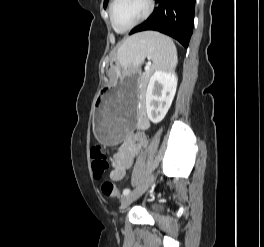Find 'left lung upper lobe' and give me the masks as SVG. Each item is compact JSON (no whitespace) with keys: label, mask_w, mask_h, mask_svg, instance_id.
<instances>
[{"label":"left lung upper lobe","mask_w":264,"mask_h":247,"mask_svg":"<svg viewBox=\"0 0 264 247\" xmlns=\"http://www.w3.org/2000/svg\"><path fill=\"white\" fill-rule=\"evenodd\" d=\"M108 0H104V8H106Z\"/></svg>","instance_id":"1"}]
</instances>
